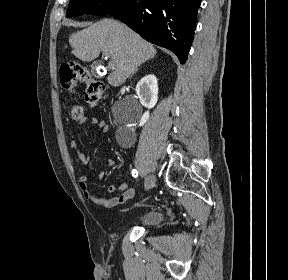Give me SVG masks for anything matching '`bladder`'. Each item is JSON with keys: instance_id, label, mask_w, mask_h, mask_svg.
Masks as SVG:
<instances>
[{"instance_id": "31cf9c89", "label": "bladder", "mask_w": 288, "mask_h": 280, "mask_svg": "<svg viewBox=\"0 0 288 280\" xmlns=\"http://www.w3.org/2000/svg\"><path fill=\"white\" fill-rule=\"evenodd\" d=\"M164 219V213L160 210H149L143 213L136 221V223L143 226L157 225Z\"/></svg>"}]
</instances>
